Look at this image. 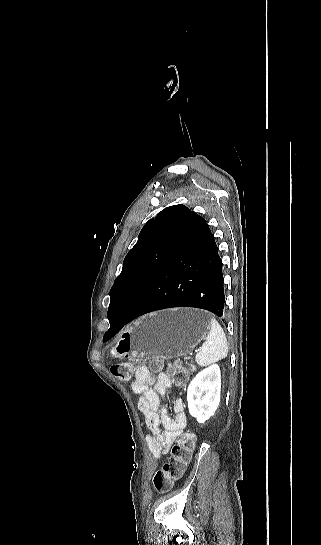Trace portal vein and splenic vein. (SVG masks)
Wrapping results in <instances>:
<instances>
[{"instance_id": "portal-vein-and-splenic-vein-1", "label": "portal vein and splenic vein", "mask_w": 321, "mask_h": 545, "mask_svg": "<svg viewBox=\"0 0 321 545\" xmlns=\"http://www.w3.org/2000/svg\"><path fill=\"white\" fill-rule=\"evenodd\" d=\"M208 344H212V341H208Z\"/></svg>"}]
</instances>
